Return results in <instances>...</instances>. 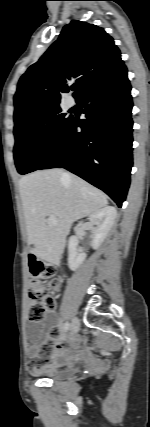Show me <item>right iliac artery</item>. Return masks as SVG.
I'll use <instances>...</instances> for the list:
<instances>
[{
	"label": "right iliac artery",
	"instance_id": "1",
	"mask_svg": "<svg viewBox=\"0 0 150 427\" xmlns=\"http://www.w3.org/2000/svg\"><path fill=\"white\" fill-rule=\"evenodd\" d=\"M70 328V324L68 322H66L64 324V330L67 331Z\"/></svg>",
	"mask_w": 150,
	"mask_h": 427
}]
</instances>
